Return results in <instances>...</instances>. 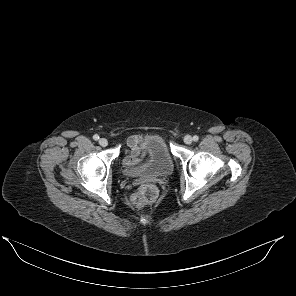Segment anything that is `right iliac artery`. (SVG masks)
Here are the masks:
<instances>
[{"instance_id": "82829eb1", "label": "right iliac artery", "mask_w": 296, "mask_h": 296, "mask_svg": "<svg viewBox=\"0 0 296 296\" xmlns=\"http://www.w3.org/2000/svg\"><path fill=\"white\" fill-rule=\"evenodd\" d=\"M93 139L97 141V140L99 139V136H98L97 134H95V135L93 136Z\"/></svg>"}]
</instances>
